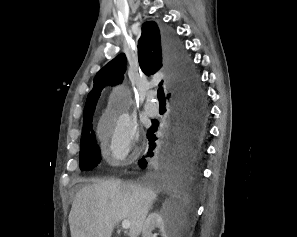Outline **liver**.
Here are the masks:
<instances>
[{
    "label": "liver",
    "instance_id": "liver-1",
    "mask_svg": "<svg viewBox=\"0 0 297 237\" xmlns=\"http://www.w3.org/2000/svg\"><path fill=\"white\" fill-rule=\"evenodd\" d=\"M157 197L150 186L99 181L77 192L69 214L71 237H111L115 225L131 222L130 237H138Z\"/></svg>",
    "mask_w": 297,
    "mask_h": 237
}]
</instances>
